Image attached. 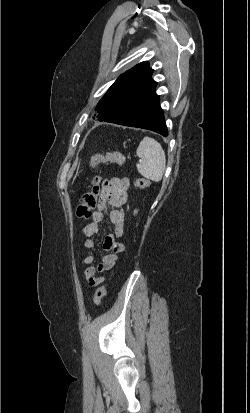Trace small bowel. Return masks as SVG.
Returning a JSON list of instances; mask_svg holds the SVG:
<instances>
[{"label":"small bowel","instance_id":"c3829d8e","mask_svg":"<svg viewBox=\"0 0 250 413\" xmlns=\"http://www.w3.org/2000/svg\"><path fill=\"white\" fill-rule=\"evenodd\" d=\"M129 187L130 179L127 177H114L106 180L97 207L92 213V221L82 229V234L86 237L83 247L93 249L95 241L92 237L98 233L99 223L104 219L107 209L110 208L109 219L114 228L112 234L108 235L103 242V248L107 253L98 264H95L96 258L93 254L83 258V263L87 266L85 270L86 282L91 288L98 286L105 280V277L99 276V273L112 271L119 255L124 251L123 244L117 239L124 232V205L127 202Z\"/></svg>","mask_w":250,"mask_h":413}]
</instances>
